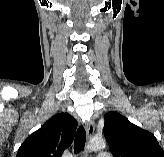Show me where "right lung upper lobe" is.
Instances as JSON below:
<instances>
[{"label": "right lung upper lobe", "mask_w": 164, "mask_h": 157, "mask_svg": "<svg viewBox=\"0 0 164 157\" xmlns=\"http://www.w3.org/2000/svg\"><path fill=\"white\" fill-rule=\"evenodd\" d=\"M76 127L77 121L68 113L56 114L22 143L16 157H61Z\"/></svg>", "instance_id": "cb5924a9"}]
</instances>
